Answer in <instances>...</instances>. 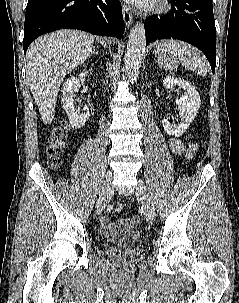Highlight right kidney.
I'll return each mask as SVG.
<instances>
[{"label":"right kidney","mask_w":239,"mask_h":303,"mask_svg":"<svg viewBox=\"0 0 239 303\" xmlns=\"http://www.w3.org/2000/svg\"><path fill=\"white\" fill-rule=\"evenodd\" d=\"M89 72L85 71L80 73V77L88 76ZM81 85L79 79L77 77H70L68 78L65 83L63 84L62 88V103L63 109L65 110L70 125L73 129H79L83 127L86 121L90 117V112L86 111L80 114L79 110H76L74 107V99H73V92H77L80 89Z\"/></svg>","instance_id":"ca27d5eb"}]
</instances>
